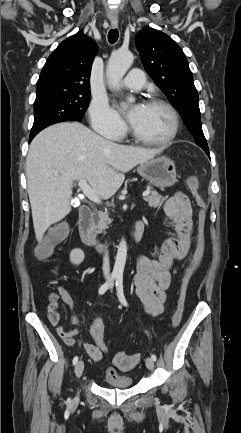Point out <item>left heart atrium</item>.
Returning a JSON list of instances; mask_svg holds the SVG:
<instances>
[{
  "label": "left heart atrium",
  "mask_w": 241,
  "mask_h": 433,
  "mask_svg": "<svg viewBox=\"0 0 241 433\" xmlns=\"http://www.w3.org/2000/svg\"><path fill=\"white\" fill-rule=\"evenodd\" d=\"M143 106L144 105H142V104H138L130 110V112L128 113V119H129L131 124H133L136 121V119H137L139 113L141 112Z\"/></svg>",
  "instance_id": "1"
}]
</instances>
